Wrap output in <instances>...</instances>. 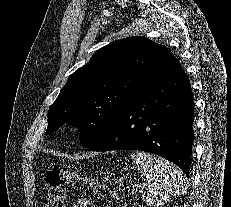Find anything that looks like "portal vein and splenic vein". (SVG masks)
<instances>
[{
    "label": "portal vein and splenic vein",
    "instance_id": "1",
    "mask_svg": "<svg viewBox=\"0 0 231 207\" xmlns=\"http://www.w3.org/2000/svg\"><path fill=\"white\" fill-rule=\"evenodd\" d=\"M143 187H144V186H139V187H136V188L133 187L132 190H137V189H140V188L142 189Z\"/></svg>",
    "mask_w": 231,
    "mask_h": 207
}]
</instances>
